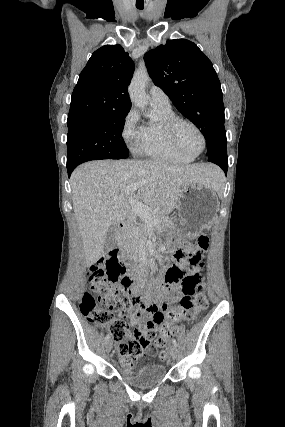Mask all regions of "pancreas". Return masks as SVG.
<instances>
[{
    "mask_svg": "<svg viewBox=\"0 0 285 427\" xmlns=\"http://www.w3.org/2000/svg\"><path fill=\"white\" fill-rule=\"evenodd\" d=\"M136 217L137 215H134L133 219L135 220ZM153 221L155 222V226L157 229H160L168 224H171V219L168 217H165L163 215V212L157 213L154 216ZM143 229H146L145 222L143 224L132 223L129 226H127L124 229L122 235L120 236V240H119L120 246L121 247L128 246L131 243H134L138 239V236Z\"/></svg>",
    "mask_w": 285,
    "mask_h": 427,
    "instance_id": "cf45deb5",
    "label": "pancreas"
}]
</instances>
